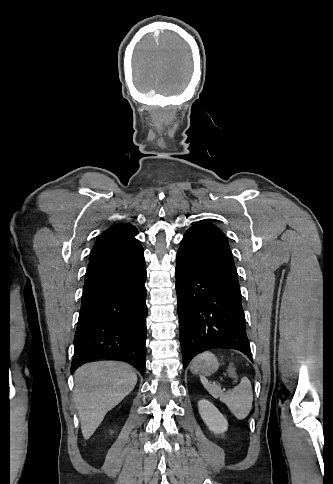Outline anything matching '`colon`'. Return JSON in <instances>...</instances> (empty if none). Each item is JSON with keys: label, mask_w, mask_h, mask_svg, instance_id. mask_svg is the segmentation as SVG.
<instances>
[{"label": "colon", "mask_w": 333, "mask_h": 484, "mask_svg": "<svg viewBox=\"0 0 333 484\" xmlns=\"http://www.w3.org/2000/svg\"><path fill=\"white\" fill-rule=\"evenodd\" d=\"M229 375H230V377H231L232 379H236V374H235V370H234V368H233V367H231V368L229 369Z\"/></svg>", "instance_id": "5ec220e1"}]
</instances>
